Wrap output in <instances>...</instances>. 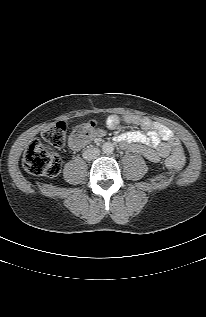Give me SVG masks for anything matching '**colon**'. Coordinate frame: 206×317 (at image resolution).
Segmentation results:
<instances>
[{
	"label": "colon",
	"instance_id": "colon-1",
	"mask_svg": "<svg viewBox=\"0 0 206 317\" xmlns=\"http://www.w3.org/2000/svg\"><path fill=\"white\" fill-rule=\"evenodd\" d=\"M97 132L95 122H88L76 127L73 137L76 141H85ZM67 124L63 121L46 127L41 139H35L23 156L24 168L38 176L55 177L60 173L61 160L52 148H62L66 142ZM173 153L165 164L168 168L179 170L185 163L184 153L177 139L172 142Z\"/></svg>",
	"mask_w": 206,
	"mask_h": 317
}]
</instances>
